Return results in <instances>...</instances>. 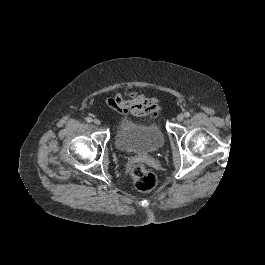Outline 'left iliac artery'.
<instances>
[{
	"label": "left iliac artery",
	"instance_id": "obj_1",
	"mask_svg": "<svg viewBox=\"0 0 265 265\" xmlns=\"http://www.w3.org/2000/svg\"><path fill=\"white\" fill-rule=\"evenodd\" d=\"M184 116H185V117H190V113H189V112H185V113H184Z\"/></svg>",
	"mask_w": 265,
	"mask_h": 265
}]
</instances>
